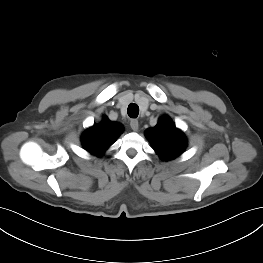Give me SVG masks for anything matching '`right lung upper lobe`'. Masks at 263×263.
Here are the masks:
<instances>
[{"instance_id": "right-lung-upper-lobe-1", "label": "right lung upper lobe", "mask_w": 263, "mask_h": 263, "mask_svg": "<svg viewBox=\"0 0 263 263\" xmlns=\"http://www.w3.org/2000/svg\"><path fill=\"white\" fill-rule=\"evenodd\" d=\"M122 132L121 124L104 117L99 125L94 124L83 133L82 145L91 154L101 156Z\"/></svg>"}]
</instances>
